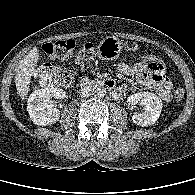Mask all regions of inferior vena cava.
Segmentation results:
<instances>
[{"mask_svg": "<svg viewBox=\"0 0 195 195\" xmlns=\"http://www.w3.org/2000/svg\"><path fill=\"white\" fill-rule=\"evenodd\" d=\"M94 95L93 89L90 87H84L81 89L80 96L84 99H87Z\"/></svg>", "mask_w": 195, "mask_h": 195, "instance_id": "inferior-vena-cava-1", "label": "inferior vena cava"}]
</instances>
